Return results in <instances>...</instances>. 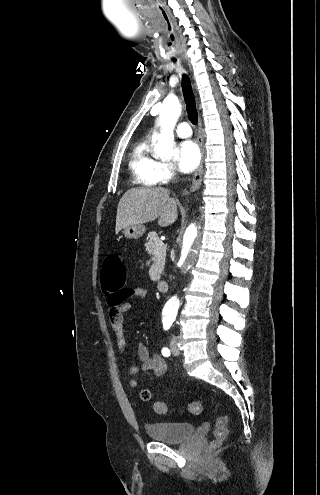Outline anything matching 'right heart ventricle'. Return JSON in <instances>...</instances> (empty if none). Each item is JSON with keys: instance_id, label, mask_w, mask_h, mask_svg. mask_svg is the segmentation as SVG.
<instances>
[{"instance_id": "e07e8e85", "label": "right heart ventricle", "mask_w": 320, "mask_h": 495, "mask_svg": "<svg viewBox=\"0 0 320 495\" xmlns=\"http://www.w3.org/2000/svg\"><path fill=\"white\" fill-rule=\"evenodd\" d=\"M160 162L154 157L150 147V137L138 142L132 150L129 167L134 181L142 186L157 183L156 171Z\"/></svg>"}]
</instances>
